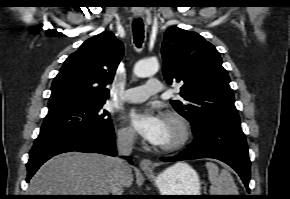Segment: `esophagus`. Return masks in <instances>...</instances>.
I'll return each mask as SVG.
<instances>
[{
	"label": "esophagus",
	"instance_id": "obj_1",
	"mask_svg": "<svg viewBox=\"0 0 290 199\" xmlns=\"http://www.w3.org/2000/svg\"><path fill=\"white\" fill-rule=\"evenodd\" d=\"M136 17H140L141 14H135ZM140 168L144 171V172H149L153 169V164L152 161L150 159H143L140 162Z\"/></svg>",
	"mask_w": 290,
	"mask_h": 199
}]
</instances>
